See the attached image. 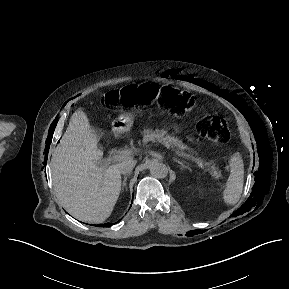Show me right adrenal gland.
Masks as SVG:
<instances>
[{"instance_id":"obj_1","label":"right adrenal gland","mask_w":289,"mask_h":289,"mask_svg":"<svg viewBox=\"0 0 289 289\" xmlns=\"http://www.w3.org/2000/svg\"><path fill=\"white\" fill-rule=\"evenodd\" d=\"M130 174H131V172L128 173V174H125L124 179H123V182H122V189L126 188L127 178H128V176H129Z\"/></svg>"}]
</instances>
